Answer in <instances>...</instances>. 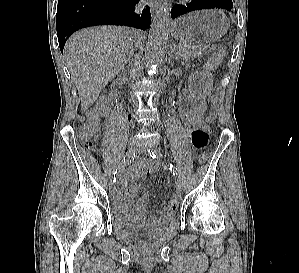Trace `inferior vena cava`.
<instances>
[{
  "instance_id": "inferior-vena-cava-1",
  "label": "inferior vena cava",
  "mask_w": 299,
  "mask_h": 273,
  "mask_svg": "<svg viewBox=\"0 0 299 273\" xmlns=\"http://www.w3.org/2000/svg\"><path fill=\"white\" fill-rule=\"evenodd\" d=\"M144 4H145V0H142L136 7V12L137 13H141L143 8H144ZM134 51V42H132L130 44V47H129V52H128V56L131 55V53Z\"/></svg>"
}]
</instances>
